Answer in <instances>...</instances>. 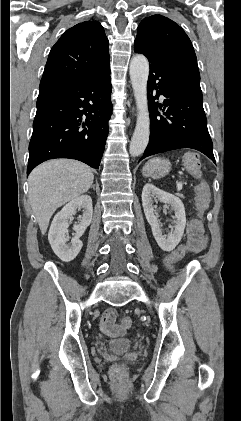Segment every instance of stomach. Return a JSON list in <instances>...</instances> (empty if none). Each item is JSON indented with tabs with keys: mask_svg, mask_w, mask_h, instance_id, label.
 <instances>
[{
	"mask_svg": "<svg viewBox=\"0 0 241 421\" xmlns=\"http://www.w3.org/2000/svg\"><path fill=\"white\" fill-rule=\"evenodd\" d=\"M171 169L169 160L163 158H152L143 167L142 174L146 177L161 178L166 176Z\"/></svg>",
	"mask_w": 241,
	"mask_h": 421,
	"instance_id": "1",
	"label": "stomach"
}]
</instances>
